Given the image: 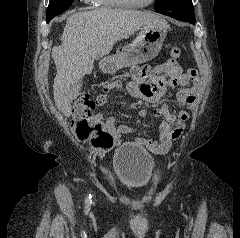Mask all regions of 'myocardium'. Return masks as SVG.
Returning <instances> with one entry per match:
<instances>
[{
    "mask_svg": "<svg viewBox=\"0 0 240 238\" xmlns=\"http://www.w3.org/2000/svg\"><path fill=\"white\" fill-rule=\"evenodd\" d=\"M155 0H149L145 3H139V2H133L129 0H117V2L122 6L126 8H140V7H146L151 5Z\"/></svg>",
    "mask_w": 240,
    "mask_h": 238,
    "instance_id": "obj_1",
    "label": "myocardium"
}]
</instances>
